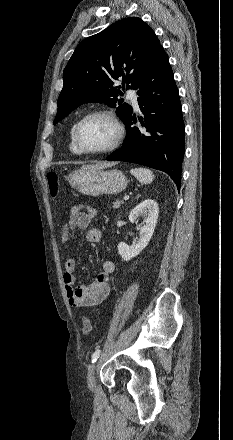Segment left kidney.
<instances>
[{
    "mask_svg": "<svg viewBox=\"0 0 233 440\" xmlns=\"http://www.w3.org/2000/svg\"><path fill=\"white\" fill-rule=\"evenodd\" d=\"M159 208L156 201L146 199L138 204L129 214L130 222H135L137 218L143 217L144 223L140 226L139 239L134 245H127L125 242L118 244V253L124 261H129L136 257L145 249L151 240L157 224Z\"/></svg>",
    "mask_w": 233,
    "mask_h": 440,
    "instance_id": "5707ae66",
    "label": "left kidney"
}]
</instances>
